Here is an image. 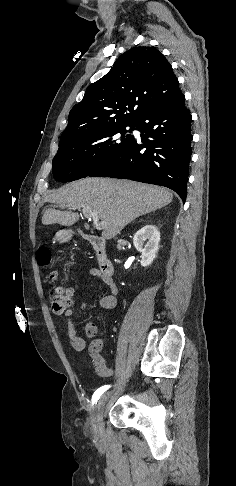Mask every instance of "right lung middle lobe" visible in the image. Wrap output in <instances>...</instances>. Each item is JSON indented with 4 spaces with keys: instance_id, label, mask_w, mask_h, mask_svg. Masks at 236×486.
Masks as SVG:
<instances>
[{
    "instance_id": "right-lung-middle-lobe-1",
    "label": "right lung middle lobe",
    "mask_w": 236,
    "mask_h": 486,
    "mask_svg": "<svg viewBox=\"0 0 236 486\" xmlns=\"http://www.w3.org/2000/svg\"><path fill=\"white\" fill-rule=\"evenodd\" d=\"M126 127H130L131 132L135 124L112 126L60 143L53 158L54 178L71 182L87 177L134 140V136L126 135Z\"/></svg>"
}]
</instances>
